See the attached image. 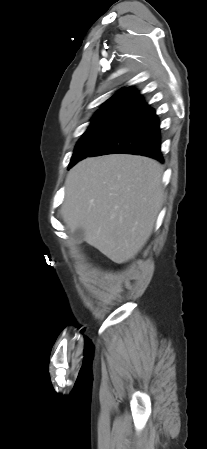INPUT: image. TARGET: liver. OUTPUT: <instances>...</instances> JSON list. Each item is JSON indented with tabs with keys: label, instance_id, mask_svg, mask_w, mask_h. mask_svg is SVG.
Segmentation results:
<instances>
[{
	"label": "liver",
	"instance_id": "1",
	"mask_svg": "<svg viewBox=\"0 0 207 449\" xmlns=\"http://www.w3.org/2000/svg\"><path fill=\"white\" fill-rule=\"evenodd\" d=\"M162 166L155 160L115 154L86 158L65 181L61 214L82 228L85 241L115 263L134 258L149 239L163 203Z\"/></svg>",
	"mask_w": 207,
	"mask_h": 449
}]
</instances>
